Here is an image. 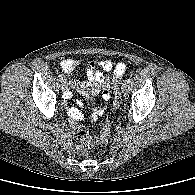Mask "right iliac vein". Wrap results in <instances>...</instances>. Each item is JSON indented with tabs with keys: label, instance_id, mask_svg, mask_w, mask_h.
<instances>
[{
	"label": "right iliac vein",
	"instance_id": "1",
	"mask_svg": "<svg viewBox=\"0 0 195 195\" xmlns=\"http://www.w3.org/2000/svg\"><path fill=\"white\" fill-rule=\"evenodd\" d=\"M66 88H67V82H66V80H62L61 81V89L65 90Z\"/></svg>",
	"mask_w": 195,
	"mask_h": 195
}]
</instances>
